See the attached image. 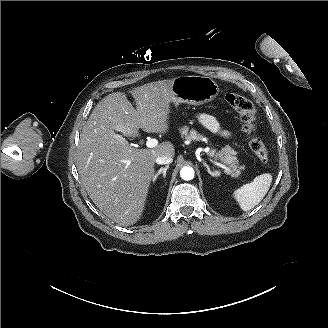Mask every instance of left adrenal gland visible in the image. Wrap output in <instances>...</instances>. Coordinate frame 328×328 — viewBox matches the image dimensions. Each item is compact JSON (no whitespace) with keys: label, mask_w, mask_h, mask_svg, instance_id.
Segmentation results:
<instances>
[{"label":"left adrenal gland","mask_w":328,"mask_h":328,"mask_svg":"<svg viewBox=\"0 0 328 328\" xmlns=\"http://www.w3.org/2000/svg\"><path fill=\"white\" fill-rule=\"evenodd\" d=\"M203 164H204V167L207 169V172H208L209 175H211L212 177H217L218 176V173H213L206 163H203Z\"/></svg>","instance_id":"obj_1"}]
</instances>
